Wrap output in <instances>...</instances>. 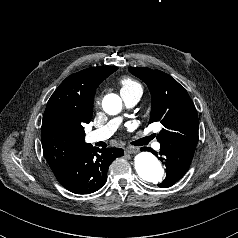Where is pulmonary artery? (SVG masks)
Here are the masks:
<instances>
[{"mask_svg":"<svg viewBox=\"0 0 238 238\" xmlns=\"http://www.w3.org/2000/svg\"><path fill=\"white\" fill-rule=\"evenodd\" d=\"M121 96L125 105L128 108L134 107L140 99V95L138 93H123L121 94ZM120 123H121L120 117L110 120L106 125L102 126L101 128L89 132L86 135V141L89 143H93L108 139L116 131ZM153 148L159 150L160 143L154 142Z\"/></svg>","mask_w":238,"mask_h":238,"instance_id":"e3ab8cb5","label":"pulmonary artery"}]
</instances>
